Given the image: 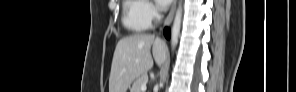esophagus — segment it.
<instances>
[{"label":"esophagus","mask_w":296,"mask_h":92,"mask_svg":"<svg viewBox=\"0 0 296 92\" xmlns=\"http://www.w3.org/2000/svg\"><path fill=\"white\" fill-rule=\"evenodd\" d=\"M176 2H177L176 0H173L169 14L165 19L164 26H168L172 22L173 17H174V13H175V9H176Z\"/></svg>","instance_id":"obj_1"}]
</instances>
